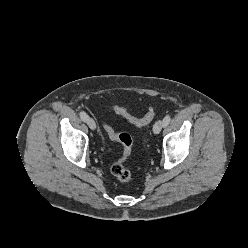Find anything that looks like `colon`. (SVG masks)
I'll use <instances>...</instances> for the list:
<instances>
[{
	"label": "colon",
	"instance_id": "obj_1",
	"mask_svg": "<svg viewBox=\"0 0 248 248\" xmlns=\"http://www.w3.org/2000/svg\"><path fill=\"white\" fill-rule=\"evenodd\" d=\"M111 110L118 116L125 118L131 124L137 127L146 126L152 121L156 115L154 109H149L147 113L142 117H136L132 115L126 108L120 105H112ZM104 129L108 136L122 145V156L111 166L112 175L121 182H129L132 179L131 172L126 168L125 163L132 153L133 139L128 133H117L114 129L104 124Z\"/></svg>",
	"mask_w": 248,
	"mask_h": 248
}]
</instances>
